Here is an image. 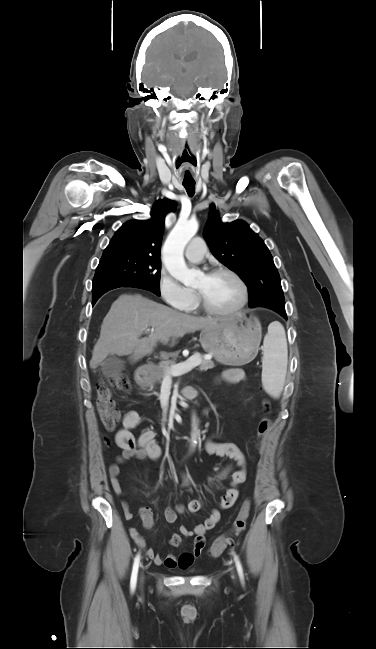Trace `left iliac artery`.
Segmentation results:
<instances>
[{
  "mask_svg": "<svg viewBox=\"0 0 376 649\" xmlns=\"http://www.w3.org/2000/svg\"><path fill=\"white\" fill-rule=\"evenodd\" d=\"M234 560H235V563H236V567H237L239 577H240L241 581L243 582V580H244L243 569H242L241 563L239 561V558H238V556L236 554H234Z\"/></svg>",
  "mask_w": 376,
  "mask_h": 649,
  "instance_id": "1",
  "label": "left iliac artery"
}]
</instances>
